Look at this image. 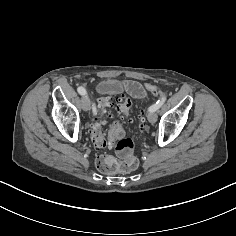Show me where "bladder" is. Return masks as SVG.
Returning a JSON list of instances; mask_svg holds the SVG:
<instances>
[{"mask_svg": "<svg viewBox=\"0 0 236 236\" xmlns=\"http://www.w3.org/2000/svg\"><path fill=\"white\" fill-rule=\"evenodd\" d=\"M121 90L120 83L112 78L102 79L98 84V91L103 94L113 95Z\"/></svg>", "mask_w": 236, "mask_h": 236, "instance_id": "1", "label": "bladder"}]
</instances>
